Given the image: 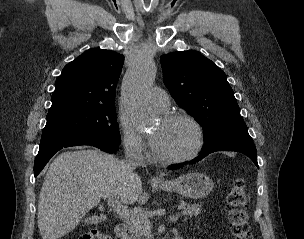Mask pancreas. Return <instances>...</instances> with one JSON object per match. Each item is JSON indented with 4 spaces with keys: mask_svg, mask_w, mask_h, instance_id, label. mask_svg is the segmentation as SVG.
I'll use <instances>...</instances> for the list:
<instances>
[{
    "mask_svg": "<svg viewBox=\"0 0 304 239\" xmlns=\"http://www.w3.org/2000/svg\"><path fill=\"white\" fill-rule=\"evenodd\" d=\"M201 207V204L189 205L184 202L179 205L182 214L190 217L198 216L202 211ZM185 219H187V217ZM127 226L128 232L130 233V239H153L154 237L151 231L150 221L145 215L140 216L133 222L127 221Z\"/></svg>",
    "mask_w": 304,
    "mask_h": 239,
    "instance_id": "pancreas-1",
    "label": "pancreas"
}]
</instances>
